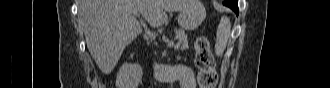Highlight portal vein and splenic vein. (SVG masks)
Returning <instances> with one entry per match:
<instances>
[{
    "instance_id": "obj_1",
    "label": "portal vein and splenic vein",
    "mask_w": 330,
    "mask_h": 88,
    "mask_svg": "<svg viewBox=\"0 0 330 88\" xmlns=\"http://www.w3.org/2000/svg\"><path fill=\"white\" fill-rule=\"evenodd\" d=\"M135 15H138L137 12H134ZM146 33L148 34V36L151 38V39H154L155 38V35L150 31V30H147L146 29ZM167 46L168 47H172L174 46V42L173 41H168L167 42Z\"/></svg>"
}]
</instances>
